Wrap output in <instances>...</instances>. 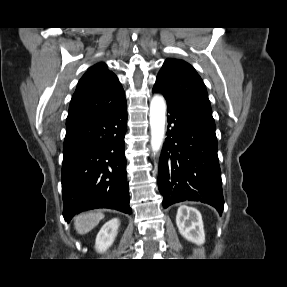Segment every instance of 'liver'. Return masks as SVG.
Segmentation results:
<instances>
[{
    "mask_svg": "<svg viewBox=\"0 0 287 287\" xmlns=\"http://www.w3.org/2000/svg\"><path fill=\"white\" fill-rule=\"evenodd\" d=\"M104 218L100 211L86 212L75 217L74 225L77 232L81 235L90 232Z\"/></svg>",
    "mask_w": 287,
    "mask_h": 287,
    "instance_id": "liver-1",
    "label": "liver"
}]
</instances>
